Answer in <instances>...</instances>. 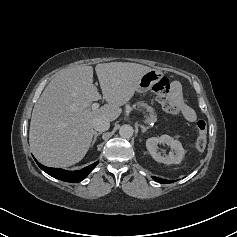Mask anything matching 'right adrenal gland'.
Here are the masks:
<instances>
[{
  "label": "right adrenal gland",
  "mask_w": 237,
  "mask_h": 237,
  "mask_svg": "<svg viewBox=\"0 0 237 237\" xmlns=\"http://www.w3.org/2000/svg\"><path fill=\"white\" fill-rule=\"evenodd\" d=\"M102 134V132H99V133H97V132H94V138H93V141H92V143H91V147L94 145V143L96 142V140H97V137L99 136V135H101Z\"/></svg>",
  "instance_id": "right-adrenal-gland-1"
}]
</instances>
